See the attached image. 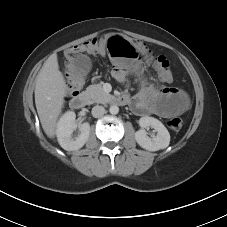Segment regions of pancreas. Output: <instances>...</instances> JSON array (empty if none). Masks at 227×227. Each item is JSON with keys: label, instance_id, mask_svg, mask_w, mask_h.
Segmentation results:
<instances>
[{"label": "pancreas", "instance_id": "1", "mask_svg": "<svg viewBox=\"0 0 227 227\" xmlns=\"http://www.w3.org/2000/svg\"><path fill=\"white\" fill-rule=\"evenodd\" d=\"M86 93L90 96L93 103L106 104L113 96L106 93L100 84L91 85L87 88Z\"/></svg>", "mask_w": 227, "mask_h": 227}]
</instances>
